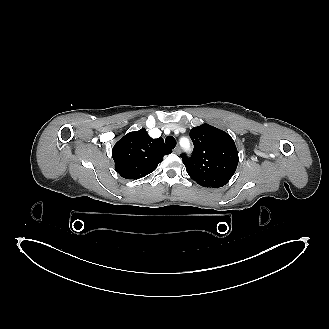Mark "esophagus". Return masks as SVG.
I'll list each match as a JSON object with an SVG mask.
<instances>
[{
  "mask_svg": "<svg viewBox=\"0 0 329 329\" xmlns=\"http://www.w3.org/2000/svg\"><path fill=\"white\" fill-rule=\"evenodd\" d=\"M173 152H174L175 154L179 155L180 152H181V150H180L179 147H176V148L173 149Z\"/></svg>",
  "mask_w": 329,
  "mask_h": 329,
  "instance_id": "34e87169",
  "label": "esophagus"
}]
</instances>
